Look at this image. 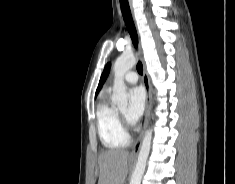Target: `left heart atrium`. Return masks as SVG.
<instances>
[{"label": "left heart atrium", "instance_id": "39dd6f15", "mask_svg": "<svg viewBox=\"0 0 235 184\" xmlns=\"http://www.w3.org/2000/svg\"><path fill=\"white\" fill-rule=\"evenodd\" d=\"M130 106L128 110V119L131 123H137L142 117L145 109V93L141 88L131 90Z\"/></svg>", "mask_w": 235, "mask_h": 184}]
</instances>
